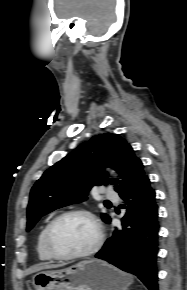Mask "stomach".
Masks as SVG:
<instances>
[{"label": "stomach", "instance_id": "0dacf381", "mask_svg": "<svg viewBox=\"0 0 187 290\" xmlns=\"http://www.w3.org/2000/svg\"><path fill=\"white\" fill-rule=\"evenodd\" d=\"M131 282L130 275L97 259L65 269L41 271L32 278L35 290H127Z\"/></svg>", "mask_w": 187, "mask_h": 290}]
</instances>
